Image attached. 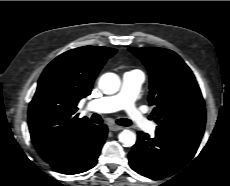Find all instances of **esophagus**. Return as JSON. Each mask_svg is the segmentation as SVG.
<instances>
[{"label":"esophagus","instance_id":"obj_1","mask_svg":"<svg viewBox=\"0 0 230 186\" xmlns=\"http://www.w3.org/2000/svg\"><path fill=\"white\" fill-rule=\"evenodd\" d=\"M109 129L111 131H120V130H123L124 127L112 124V125L109 126Z\"/></svg>","mask_w":230,"mask_h":186}]
</instances>
